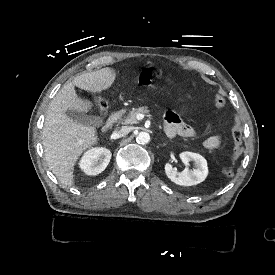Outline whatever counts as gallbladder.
Returning a JSON list of instances; mask_svg holds the SVG:
<instances>
[{"label":"gallbladder","instance_id":"1","mask_svg":"<svg viewBox=\"0 0 275 275\" xmlns=\"http://www.w3.org/2000/svg\"><path fill=\"white\" fill-rule=\"evenodd\" d=\"M66 114L73 121L80 123L84 126L100 127L103 123L102 118L99 116L87 115L83 112H78L75 110H68Z\"/></svg>","mask_w":275,"mask_h":275}]
</instances>
